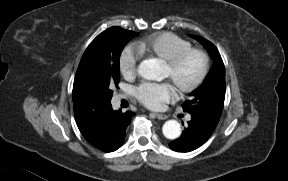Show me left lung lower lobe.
I'll list each match as a JSON object with an SVG mask.
<instances>
[{"instance_id":"left-lung-lower-lobe-1","label":"left lung lower lobe","mask_w":288,"mask_h":181,"mask_svg":"<svg viewBox=\"0 0 288 181\" xmlns=\"http://www.w3.org/2000/svg\"><path fill=\"white\" fill-rule=\"evenodd\" d=\"M219 121L200 113H191V120L182 135L169 146L178 152H190L203 145L214 132Z\"/></svg>"}]
</instances>
